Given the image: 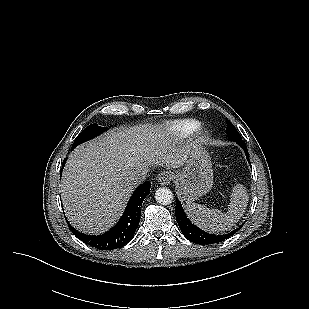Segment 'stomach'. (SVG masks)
Listing matches in <instances>:
<instances>
[{"label": "stomach", "instance_id": "1", "mask_svg": "<svg viewBox=\"0 0 309 309\" xmlns=\"http://www.w3.org/2000/svg\"><path fill=\"white\" fill-rule=\"evenodd\" d=\"M177 192L187 202L208 193L213 185L211 158L205 147L193 143L184 167L175 173Z\"/></svg>", "mask_w": 309, "mask_h": 309}]
</instances>
